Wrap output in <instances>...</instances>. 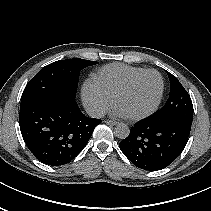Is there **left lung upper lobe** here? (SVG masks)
<instances>
[{"mask_svg": "<svg viewBox=\"0 0 211 211\" xmlns=\"http://www.w3.org/2000/svg\"><path fill=\"white\" fill-rule=\"evenodd\" d=\"M166 71V70H165ZM170 79V95L164 107L150 120H181L192 124L193 104L191 98L177 78L166 71Z\"/></svg>", "mask_w": 211, "mask_h": 211, "instance_id": "1", "label": "left lung upper lobe"}]
</instances>
